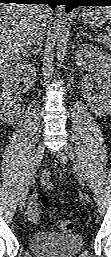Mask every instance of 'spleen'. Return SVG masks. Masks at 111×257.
I'll return each mask as SVG.
<instances>
[{"label":"spleen","instance_id":"3e777b00","mask_svg":"<svg viewBox=\"0 0 111 257\" xmlns=\"http://www.w3.org/2000/svg\"><path fill=\"white\" fill-rule=\"evenodd\" d=\"M101 9L104 10V14L106 16V19H108L109 22L111 23V7H105V8L99 7V8H96L95 9L96 13H99Z\"/></svg>","mask_w":111,"mask_h":257}]
</instances>
